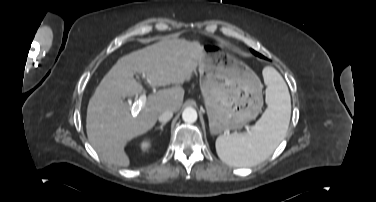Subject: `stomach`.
Returning <instances> with one entry per match:
<instances>
[{"mask_svg":"<svg viewBox=\"0 0 376 202\" xmlns=\"http://www.w3.org/2000/svg\"><path fill=\"white\" fill-rule=\"evenodd\" d=\"M198 71L212 133L237 129L257 116L263 104L262 85L246 64L219 45L208 44L203 46Z\"/></svg>","mask_w":376,"mask_h":202,"instance_id":"stomach-1","label":"stomach"}]
</instances>
